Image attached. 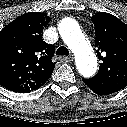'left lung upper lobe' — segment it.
<instances>
[{
  "label": "left lung upper lobe",
  "instance_id": "left-lung-upper-lobe-1",
  "mask_svg": "<svg viewBox=\"0 0 127 127\" xmlns=\"http://www.w3.org/2000/svg\"><path fill=\"white\" fill-rule=\"evenodd\" d=\"M95 47L102 63L95 77L127 86V25L117 17L99 12L92 17Z\"/></svg>",
  "mask_w": 127,
  "mask_h": 127
}]
</instances>
